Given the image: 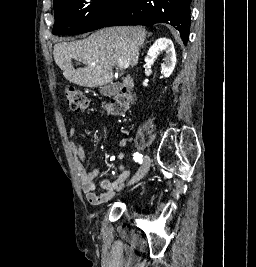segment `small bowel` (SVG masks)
I'll return each mask as SVG.
<instances>
[{
	"instance_id": "1",
	"label": "small bowel",
	"mask_w": 256,
	"mask_h": 267,
	"mask_svg": "<svg viewBox=\"0 0 256 267\" xmlns=\"http://www.w3.org/2000/svg\"><path fill=\"white\" fill-rule=\"evenodd\" d=\"M69 133L71 137L76 136L77 126L75 124L71 125ZM69 148L75 156L74 166L80 181L81 189L86 195L87 200L93 205H99L108 201L116 191L122 188L124 181L131 173L130 170H125L114 181L108 179L102 180L99 184L101 191L97 192L95 179L98 176V171L96 169L91 171L86 170L84 163L88 161V158L84 153L83 146L75 140H71L69 142Z\"/></svg>"
}]
</instances>
